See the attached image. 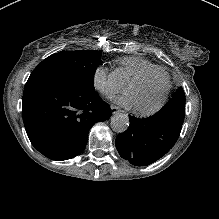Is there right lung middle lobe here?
<instances>
[{
	"instance_id": "right-lung-middle-lobe-1",
	"label": "right lung middle lobe",
	"mask_w": 219,
	"mask_h": 219,
	"mask_svg": "<svg viewBox=\"0 0 219 219\" xmlns=\"http://www.w3.org/2000/svg\"><path fill=\"white\" fill-rule=\"evenodd\" d=\"M99 55L100 53H92L88 50L65 53L62 51L42 61L30 77L47 73L54 67L62 65L70 67L83 81L92 83V72L97 67Z\"/></svg>"
}]
</instances>
